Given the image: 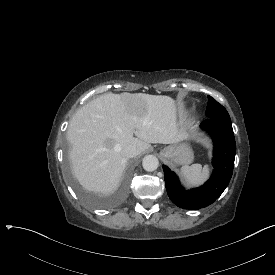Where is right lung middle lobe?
<instances>
[{
  "instance_id": "1",
  "label": "right lung middle lobe",
  "mask_w": 275,
  "mask_h": 275,
  "mask_svg": "<svg viewBox=\"0 0 275 275\" xmlns=\"http://www.w3.org/2000/svg\"><path fill=\"white\" fill-rule=\"evenodd\" d=\"M62 154L65 176L72 182V188L76 191L79 198L88 206L92 208H107L117 205L124 200L129 184L133 181V176L130 173H124L123 179L110 193H98L95 191L94 194H92L90 193L91 186L89 184H84L81 189V181L77 179V175L73 171V152L70 142H65L63 144ZM129 170L131 172H136L138 170V164L136 162H131L129 164Z\"/></svg>"
}]
</instances>
